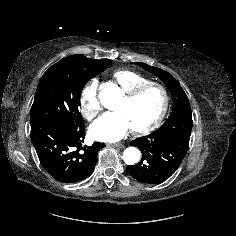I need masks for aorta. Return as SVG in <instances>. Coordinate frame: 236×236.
I'll return each mask as SVG.
<instances>
[{
  "label": "aorta",
  "mask_w": 236,
  "mask_h": 236,
  "mask_svg": "<svg viewBox=\"0 0 236 236\" xmlns=\"http://www.w3.org/2000/svg\"><path fill=\"white\" fill-rule=\"evenodd\" d=\"M121 95V90L116 85H111L104 88L100 94L99 98L101 103L109 108L110 103L116 100ZM141 152L136 147H129L124 150L123 160L128 165H133L140 160Z\"/></svg>",
  "instance_id": "1"
}]
</instances>
